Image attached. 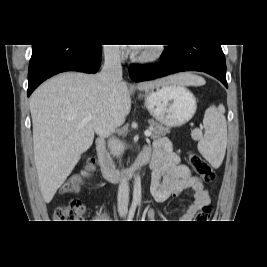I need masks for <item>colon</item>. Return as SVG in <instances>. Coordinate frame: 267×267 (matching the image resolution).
<instances>
[{"mask_svg":"<svg viewBox=\"0 0 267 267\" xmlns=\"http://www.w3.org/2000/svg\"><path fill=\"white\" fill-rule=\"evenodd\" d=\"M189 163L193 170L205 181L211 183L215 180V172L211 166L200 156L195 153L189 154ZM94 163L92 159H88L85 163V170L82 176H87L93 170ZM80 178L71 179L64 185L66 191H71ZM85 208L83 203L78 199H71L66 204L59 205L54 210L55 222L70 223L76 222L82 218ZM211 208L208 206L202 207L198 212L196 219L198 222H208L211 217Z\"/></svg>","mask_w":267,"mask_h":267,"instance_id":"colon-1","label":"colon"}]
</instances>
